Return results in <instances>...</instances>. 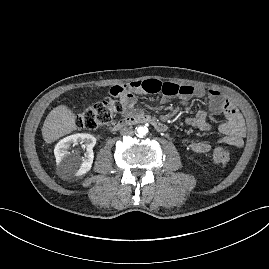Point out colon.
I'll return each instance as SVG.
<instances>
[{"label":"colon","mask_w":269,"mask_h":269,"mask_svg":"<svg viewBox=\"0 0 269 269\" xmlns=\"http://www.w3.org/2000/svg\"><path fill=\"white\" fill-rule=\"evenodd\" d=\"M111 97L98 102L80 113L76 118L79 129L95 130L112 122L115 114L122 109L118 93L110 90ZM234 150L218 146L212 151V159L216 164L227 165L232 160Z\"/></svg>","instance_id":"colon-1"}]
</instances>
